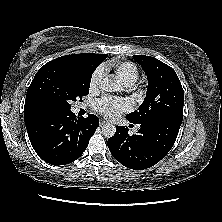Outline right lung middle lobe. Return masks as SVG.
<instances>
[{
    "instance_id": "obj_1",
    "label": "right lung middle lobe",
    "mask_w": 222,
    "mask_h": 222,
    "mask_svg": "<svg viewBox=\"0 0 222 222\" xmlns=\"http://www.w3.org/2000/svg\"><path fill=\"white\" fill-rule=\"evenodd\" d=\"M32 88V95L47 112L68 111L70 102L88 95L96 67L86 63L52 60Z\"/></svg>"
}]
</instances>
